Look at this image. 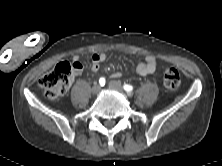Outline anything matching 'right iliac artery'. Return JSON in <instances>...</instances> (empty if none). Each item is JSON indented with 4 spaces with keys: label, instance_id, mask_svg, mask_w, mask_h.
Listing matches in <instances>:
<instances>
[{
    "label": "right iliac artery",
    "instance_id": "1",
    "mask_svg": "<svg viewBox=\"0 0 222 166\" xmlns=\"http://www.w3.org/2000/svg\"><path fill=\"white\" fill-rule=\"evenodd\" d=\"M105 78H103V77H101L100 79H99V84L101 85V86H104L105 85Z\"/></svg>",
    "mask_w": 222,
    "mask_h": 166
}]
</instances>
